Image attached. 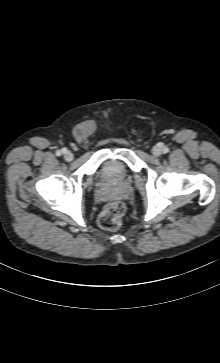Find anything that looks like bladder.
<instances>
[{
	"label": "bladder",
	"mask_w": 220,
	"mask_h": 363,
	"mask_svg": "<svg viewBox=\"0 0 220 363\" xmlns=\"http://www.w3.org/2000/svg\"><path fill=\"white\" fill-rule=\"evenodd\" d=\"M127 173L126 166L118 160L107 161L101 171L104 178H122Z\"/></svg>",
	"instance_id": "obj_1"
}]
</instances>
